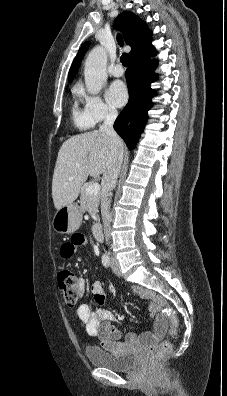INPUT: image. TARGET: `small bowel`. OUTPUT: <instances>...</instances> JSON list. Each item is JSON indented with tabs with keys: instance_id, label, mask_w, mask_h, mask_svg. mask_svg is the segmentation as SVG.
Returning <instances> with one entry per match:
<instances>
[{
	"instance_id": "c3829d8e",
	"label": "small bowel",
	"mask_w": 227,
	"mask_h": 396,
	"mask_svg": "<svg viewBox=\"0 0 227 396\" xmlns=\"http://www.w3.org/2000/svg\"><path fill=\"white\" fill-rule=\"evenodd\" d=\"M86 244V239L82 234H74L71 241L64 243L61 247L62 256L71 257L78 249ZM79 294L85 292L86 283L83 278L77 280ZM92 292L97 304L102 305L105 302V291L101 282L92 283ZM133 293L142 299L150 302L149 312L154 318L153 331L145 332L140 335L128 333L125 339L121 340V331L115 326V315L106 309L92 311L87 304H81L77 308V316L85 326L90 336L98 337L100 345L106 350H114L122 344H143L154 347L157 342L164 337L168 325L160 314L162 300L152 291L138 285L132 287Z\"/></svg>"
}]
</instances>
